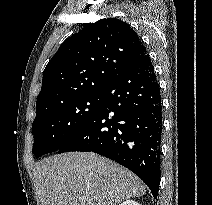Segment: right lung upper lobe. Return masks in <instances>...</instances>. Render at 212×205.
<instances>
[{
	"instance_id": "right-lung-upper-lobe-1",
	"label": "right lung upper lobe",
	"mask_w": 212,
	"mask_h": 205,
	"mask_svg": "<svg viewBox=\"0 0 212 205\" xmlns=\"http://www.w3.org/2000/svg\"><path fill=\"white\" fill-rule=\"evenodd\" d=\"M146 54L138 34L126 22L108 18L85 24L62 43L47 64L36 117L70 100L101 92Z\"/></svg>"
}]
</instances>
